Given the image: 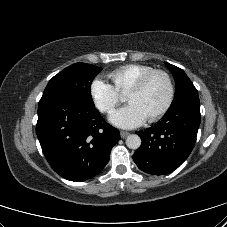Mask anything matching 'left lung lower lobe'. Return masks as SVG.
Listing matches in <instances>:
<instances>
[{
  "label": "left lung lower lobe",
  "mask_w": 227,
  "mask_h": 227,
  "mask_svg": "<svg viewBox=\"0 0 227 227\" xmlns=\"http://www.w3.org/2000/svg\"><path fill=\"white\" fill-rule=\"evenodd\" d=\"M198 95L173 104L162 121L138 132L142 145L133 160L146 173L165 175L176 170L190 155L200 125Z\"/></svg>",
  "instance_id": "left-lung-lower-lobe-1"
}]
</instances>
